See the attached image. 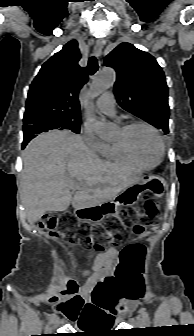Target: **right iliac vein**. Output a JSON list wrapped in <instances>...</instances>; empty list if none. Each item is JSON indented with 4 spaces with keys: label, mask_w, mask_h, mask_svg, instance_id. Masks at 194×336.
<instances>
[{
    "label": "right iliac vein",
    "mask_w": 194,
    "mask_h": 336,
    "mask_svg": "<svg viewBox=\"0 0 194 336\" xmlns=\"http://www.w3.org/2000/svg\"><path fill=\"white\" fill-rule=\"evenodd\" d=\"M60 323H61V322H60L59 317L56 316L55 319L53 320V324H54V326H55V327H58V326L60 325Z\"/></svg>",
    "instance_id": "63e3f726"
}]
</instances>
